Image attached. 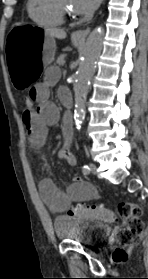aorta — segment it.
I'll list each match as a JSON object with an SVG mask.
<instances>
[{"label":"aorta","mask_w":148,"mask_h":279,"mask_svg":"<svg viewBox=\"0 0 148 279\" xmlns=\"http://www.w3.org/2000/svg\"><path fill=\"white\" fill-rule=\"evenodd\" d=\"M103 27L95 28L88 36L85 47L82 53V60L76 73V82L74 86L75 93V120L77 127L84 120V104L89 88L90 80L92 79L96 61L99 57L103 46Z\"/></svg>","instance_id":"aorta-1"}]
</instances>
